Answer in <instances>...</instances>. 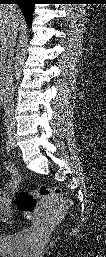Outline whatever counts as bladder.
Here are the masks:
<instances>
[{
    "label": "bladder",
    "mask_w": 106,
    "mask_h": 257,
    "mask_svg": "<svg viewBox=\"0 0 106 257\" xmlns=\"http://www.w3.org/2000/svg\"><path fill=\"white\" fill-rule=\"evenodd\" d=\"M30 241L31 235L28 231L3 235L0 237V255L2 257H25Z\"/></svg>",
    "instance_id": "bladder-1"
}]
</instances>
